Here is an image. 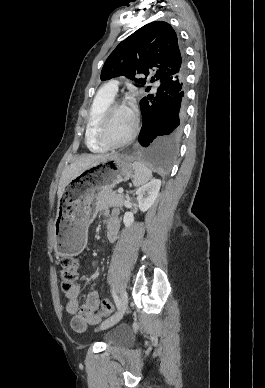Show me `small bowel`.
Masks as SVG:
<instances>
[{
  "mask_svg": "<svg viewBox=\"0 0 265 388\" xmlns=\"http://www.w3.org/2000/svg\"><path fill=\"white\" fill-rule=\"evenodd\" d=\"M120 229V221L117 212L113 211L108 214L107 222V239L110 242L116 241ZM81 286L76 284L73 288L65 293V310L72 316L71 326L77 332H83L87 325L97 324L100 316L96 314L100 307V298L96 291H90L85 301L80 304L79 296Z\"/></svg>",
  "mask_w": 265,
  "mask_h": 388,
  "instance_id": "obj_1",
  "label": "small bowel"
}]
</instances>
